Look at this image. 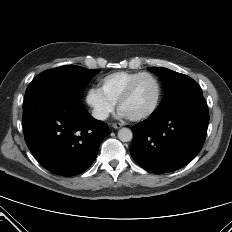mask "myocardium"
<instances>
[{"mask_svg": "<svg viewBox=\"0 0 232 232\" xmlns=\"http://www.w3.org/2000/svg\"><path fill=\"white\" fill-rule=\"evenodd\" d=\"M143 77H150L151 79L154 80V82L156 83V86H157V96H156L154 104L152 105V107L148 111H146L143 114L137 115V116H128V118L132 121H140V120H144V119H147L150 116H152L156 112V110L158 109L160 102H161V99H162L163 91H162V85H161V82L159 81V79L152 73L141 72L129 83L126 90L123 92V94L119 98V100L117 102L118 109L121 110L122 105L132 96V93L134 91V88H135L137 82Z\"/></svg>", "mask_w": 232, "mask_h": 232, "instance_id": "f54148a6", "label": "myocardium"}]
</instances>
